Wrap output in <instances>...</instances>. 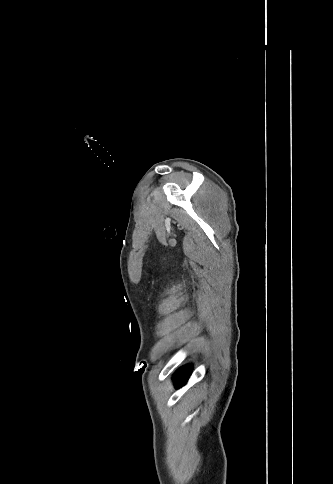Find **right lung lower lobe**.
Here are the masks:
<instances>
[{"mask_svg": "<svg viewBox=\"0 0 333 484\" xmlns=\"http://www.w3.org/2000/svg\"><path fill=\"white\" fill-rule=\"evenodd\" d=\"M192 371V366L182 367L174 376L175 385L182 386L189 378Z\"/></svg>", "mask_w": 333, "mask_h": 484, "instance_id": "right-lung-lower-lobe-1", "label": "right lung lower lobe"}]
</instances>
